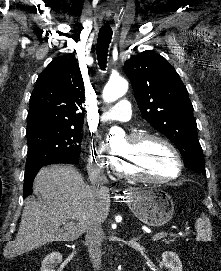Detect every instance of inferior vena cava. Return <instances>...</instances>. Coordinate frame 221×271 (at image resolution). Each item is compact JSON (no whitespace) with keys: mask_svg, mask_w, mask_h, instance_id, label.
<instances>
[{"mask_svg":"<svg viewBox=\"0 0 221 271\" xmlns=\"http://www.w3.org/2000/svg\"><path fill=\"white\" fill-rule=\"evenodd\" d=\"M99 173L97 179H95L93 185H91L95 195L105 199L109 197V187H106L105 183H108L106 175L103 173L102 167H97ZM104 239L102 219L99 217H92L89 221V225L86 227L85 243L89 251L90 261L93 263V267L100 269L102 267V241Z\"/></svg>","mask_w":221,"mask_h":271,"instance_id":"602c4592","label":"inferior vena cava"}]
</instances>
